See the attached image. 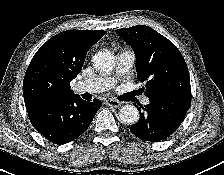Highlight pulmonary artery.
Wrapping results in <instances>:
<instances>
[{
    "label": "pulmonary artery",
    "mask_w": 224,
    "mask_h": 175,
    "mask_svg": "<svg viewBox=\"0 0 224 175\" xmlns=\"http://www.w3.org/2000/svg\"><path fill=\"white\" fill-rule=\"evenodd\" d=\"M134 63L135 54L129 50H122L117 55V65L114 74L81 81L75 86V91L79 93L103 92L113 86L118 78L127 74L133 67ZM149 102V99H145L143 101L145 105L149 104Z\"/></svg>",
    "instance_id": "obj_1"
}]
</instances>
